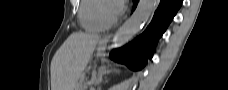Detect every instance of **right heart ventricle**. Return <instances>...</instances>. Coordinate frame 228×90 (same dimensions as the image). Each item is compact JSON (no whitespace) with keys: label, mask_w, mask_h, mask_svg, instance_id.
<instances>
[{"label":"right heart ventricle","mask_w":228,"mask_h":90,"mask_svg":"<svg viewBox=\"0 0 228 90\" xmlns=\"http://www.w3.org/2000/svg\"><path fill=\"white\" fill-rule=\"evenodd\" d=\"M103 0H82L78 18L81 26L89 32H101L106 26L99 18V7Z\"/></svg>","instance_id":"e07e8e85"}]
</instances>
